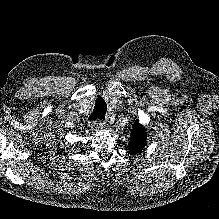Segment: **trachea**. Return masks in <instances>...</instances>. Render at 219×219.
Returning <instances> with one entry per match:
<instances>
[{
  "label": "trachea",
  "mask_w": 219,
  "mask_h": 219,
  "mask_svg": "<svg viewBox=\"0 0 219 219\" xmlns=\"http://www.w3.org/2000/svg\"><path fill=\"white\" fill-rule=\"evenodd\" d=\"M106 111H107V105L105 101L103 100V98L99 97L96 99L94 110L88 119L90 121L97 120V119H104Z\"/></svg>",
  "instance_id": "obj_1"
}]
</instances>
